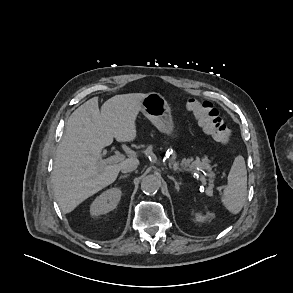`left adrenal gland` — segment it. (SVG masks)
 I'll list each match as a JSON object with an SVG mask.
<instances>
[{
    "label": "left adrenal gland",
    "instance_id": "left-adrenal-gland-1",
    "mask_svg": "<svg viewBox=\"0 0 293 293\" xmlns=\"http://www.w3.org/2000/svg\"><path fill=\"white\" fill-rule=\"evenodd\" d=\"M169 179H171L175 183V189L179 192L181 183H178L176 181V179L174 177H172V176H169Z\"/></svg>",
    "mask_w": 293,
    "mask_h": 293
}]
</instances>
